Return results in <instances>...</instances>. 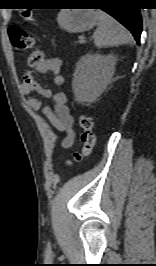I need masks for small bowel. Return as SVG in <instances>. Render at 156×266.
<instances>
[{
    "mask_svg": "<svg viewBox=\"0 0 156 266\" xmlns=\"http://www.w3.org/2000/svg\"><path fill=\"white\" fill-rule=\"evenodd\" d=\"M62 67L61 60L53 57L44 60L40 65L25 71L21 91L25 95H32L29 104L32 109L39 111L50 120L56 131L63 134L62 145L66 148L72 146L75 138L73 130V117L68 106V99L63 92L53 93L50 89L44 88L37 80V73H51L54 76V83L61 87L65 79L60 74ZM43 99H51L52 106L44 105Z\"/></svg>",
    "mask_w": 156,
    "mask_h": 266,
    "instance_id": "small-bowel-1",
    "label": "small bowel"
}]
</instances>
